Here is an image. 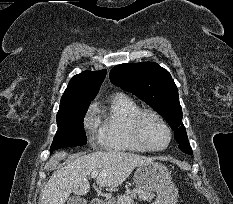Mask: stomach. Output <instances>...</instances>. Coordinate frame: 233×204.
I'll use <instances>...</instances> for the list:
<instances>
[{
    "label": "stomach",
    "mask_w": 233,
    "mask_h": 204,
    "mask_svg": "<svg viewBox=\"0 0 233 204\" xmlns=\"http://www.w3.org/2000/svg\"><path fill=\"white\" fill-rule=\"evenodd\" d=\"M133 179L138 188L158 194L154 204H176L178 190L162 163L152 161L138 166Z\"/></svg>",
    "instance_id": "stomach-1"
}]
</instances>
